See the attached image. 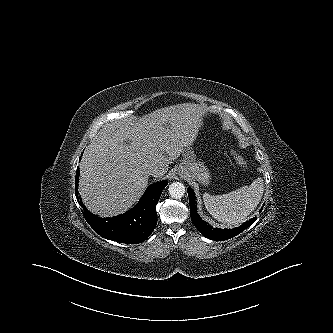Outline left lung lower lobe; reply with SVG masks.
Returning <instances> with one entry per match:
<instances>
[{
	"label": "left lung lower lobe",
	"instance_id": "obj_1",
	"mask_svg": "<svg viewBox=\"0 0 333 333\" xmlns=\"http://www.w3.org/2000/svg\"><path fill=\"white\" fill-rule=\"evenodd\" d=\"M188 196H189V203H190V216L191 220L194 223L195 227L204 235L206 238L215 240V241H224L235 237L239 233L243 232L246 228L251 226L256 217L246 221L241 226L234 228V229H219L213 228L207 222L202 220L197 213L196 201H195V194L191 188L187 189ZM263 209V208H262ZM260 210V212L262 211Z\"/></svg>",
	"mask_w": 333,
	"mask_h": 333
}]
</instances>
